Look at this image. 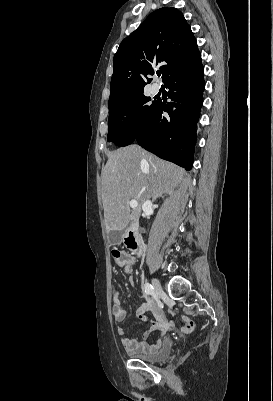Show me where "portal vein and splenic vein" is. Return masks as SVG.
<instances>
[{
    "label": "portal vein and splenic vein",
    "mask_w": 273,
    "mask_h": 401,
    "mask_svg": "<svg viewBox=\"0 0 273 401\" xmlns=\"http://www.w3.org/2000/svg\"><path fill=\"white\" fill-rule=\"evenodd\" d=\"M129 205L131 209H135V207H138V201H130Z\"/></svg>",
    "instance_id": "portal-vein-and-splenic-vein-1"
}]
</instances>
